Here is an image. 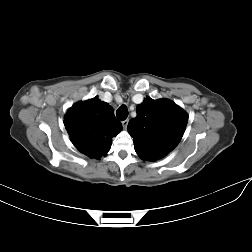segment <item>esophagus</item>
I'll return each instance as SVG.
<instances>
[{
	"instance_id": "esophagus-1",
	"label": "esophagus",
	"mask_w": 252,
	"mask_h": 252,
	"mask_svg": "<svg viewBox=\"0 0 252 252\" xmlns=\"http://www.w3.org/2000/svg\"><path fill=\"white\" fill-rule=\"evenodd\" d=\"M128 122H129V120H128V119H126V120L122 121V125H123V128H124V129H126V128H127Z\"/></svg>"
}]
</instances>
